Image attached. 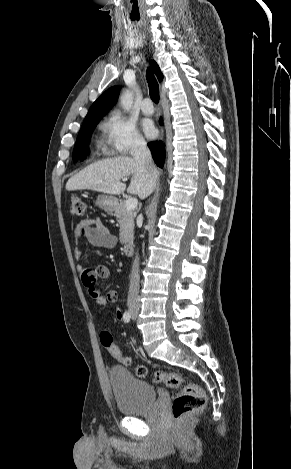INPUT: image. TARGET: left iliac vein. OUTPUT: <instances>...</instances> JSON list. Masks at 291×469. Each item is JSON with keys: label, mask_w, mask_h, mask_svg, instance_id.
Here are the masks:
<instances>
[{"label": "left iliac vein", "mask_w": 291, "mask_h": 469, "mask_svg": "<svg viewBox=\"0 0 291 469\" xmlns=\"http://www.w3.org/2000/svg\"><path fill=\"white\" fill-rule=\"evenodd\" d=\"M137 312L132 315V319L135 320Z\"/></svg>", "instance_id": "obj_1"}]
</instances>
